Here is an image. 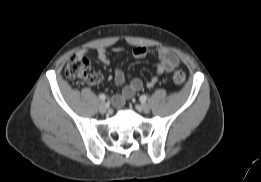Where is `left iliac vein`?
<instances>
[{
  "instance_id": "1",
  "label": "left iliac vein",
  "mask_w": 261,
  "mask_h": 182,
  "mask_svg": "<svg viewBox=\"0 0 261 182\" xmlns=\"http://www.w3.org/2000/svg\"><path fill=\"white\" fill-rule=\"evenodd\" d=\"M136 108L142 110L144 113H149L150 112L149 105H147L145 103H143L141 105H137Z\"/></svg>"
}]
</instances>
